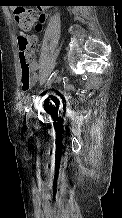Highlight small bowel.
I'll return each mask as SVG.
<instances>
[{"label": "small bowel", "instance_id": "1", "mask_svg": "<svg viewBox=\"0 0 122 218\" xmlns=\"http://www.w3.org/2000/svg\"><path fill=\"white\" fill-rule=\"evenodd\" d=\"M38 64H39L38 62L34 61V58L31 54V69L33 73V84H35L39 80L38 72L40 70V66Z\"/></svg>", "mask_w": 122, "mask_h": 218}]
</instances>
